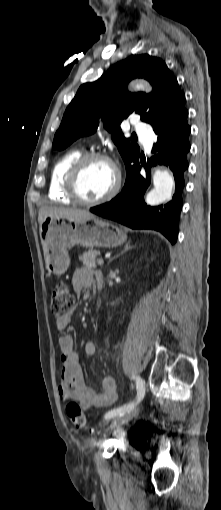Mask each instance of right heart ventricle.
<instances>
[{"label":"right heart ventricle","mask_w":221,"mask_h":510,"mask_svg":"<svg viewBox=\"0 0 221 510\" xmlns=\"http://www.w3.org/2000/svg\"><path fill=\"white\" fill-rule=\"evenodd\" d=\"M82 155L80 149H71L61 155L53 165L49 184V197L51 200L69 204L72 199L65 191L66 174L75 160Z\"/></svg>","instance_id":"right-heart-ventricle-1"}]
</instances>
